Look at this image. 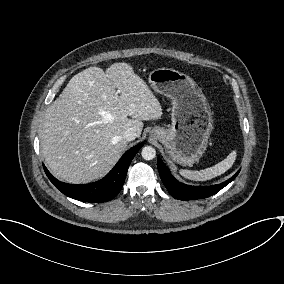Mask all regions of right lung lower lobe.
Listing matches in <instances>:
<instances>
[{"mask_svg": "<svg viewBox=\"0 0 284 284\" xmlns=\"http://www.w3.org/2000/svg\"><path fill=\"white\" fill-rule=\"evenodd\" d=\"M143 146L140 143L128 150L114 166V168L101 180L86 185H71L60 182L54 178L43 165L49 180L66 196L83 202H105L113 199L121 190L129 165Z\"/></svg>", "mask_w": 284, "mask_h": 284, "instance_id": "right-lung-lower-lobe-1", "label": "right lung lower lobe"}]
</instances>
